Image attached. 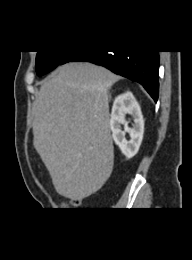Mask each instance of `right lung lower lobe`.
I'll return each instance as SVG.
<instances>
[{
    "label": "right lung lower lobe",
    "mask_w": 192,
    "mask_h": 260,
    "mask_svg": "<svg viewBox=\"0 0 192 260\" xmlns=\"http://www.w3.org/2000/svg\"><path fill=\"white\" fill-rule=\"evenodd\" d=\"M87 61L139 82L156 102L158 99V51H76L68 53L61 64Z\"/></svg>",
    "instance_id": "98d812e1"
}]
</instances>
